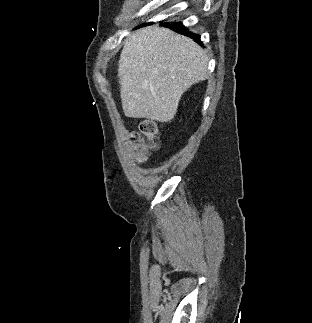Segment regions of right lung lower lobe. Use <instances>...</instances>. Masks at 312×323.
Returning a JSON list of instances; mask_svg holds the SVG:
<instances>
[{
  "mask_svg": "<svg viewBox=\"0 0 312 323\" xmlns=\"http://www.w3.org/2000/svg\"><path fill=\"white\" fill-rule=\"evenodd\" d=\"M161 25H163L165 27H168V28H170L172 30H175L178 33H181V34H184L186 36H189V37L193 38L201 46H203L202 42L200 41V36L188 31V29L186 27H184L182 23L168 24V22H166V23H163V24L161 23Z\"/></svg>",
  "mask_w": 312,
  "mask_h": 323,
  "instance_id": "obj_1",
  "label": "right lung lower lobe"
}]
</instances>
